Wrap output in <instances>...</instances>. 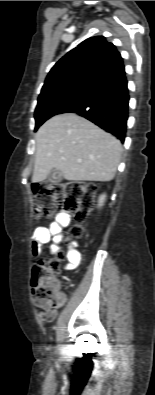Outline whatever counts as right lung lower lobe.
Wrapping results in <instances>:
<instances>
[{
	"label": "right lung lower lobe",
	"mask_w": 155,
	"mask_h": 395,
	"mask_svg": "<svg viewBox=\"0 0 155 395\" xmlns=\"http://www.w3.org/2000/svg\"><path fill=\"white\" fill-rule=\"evenodd\" d=\"M128 103L127 80L123 72L107 80L92 95L68 112L79 114L124 142Z\"/></svg>",
	"instance_id": "98d812e1"
}]
</instances>
